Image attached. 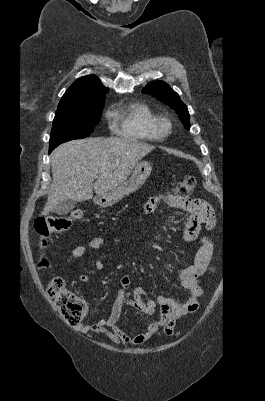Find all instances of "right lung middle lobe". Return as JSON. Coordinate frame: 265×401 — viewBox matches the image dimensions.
Masks as SVG:
<instances>
[{
    "label": "right lung middle lobe",
    "mask_w": 265,
    "mask_h": 401,
    "mask_svg": "<svg viewBox=\"0 0 265 401\" xmlns=\"http://www.w3.org/2000/svg\"><path fill=\"white\" fill-rule=\"evenodd\" d=\"M104 103L105 98L58 106L51 130L50 149L89 136L100 121Z\"/></svg>",
    "instance_id": "right-lung-middle-lobe-1"
}]
</instances>
